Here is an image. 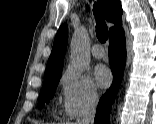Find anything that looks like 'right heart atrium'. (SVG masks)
I'll use <instances>...</instances> for the list:
<instances>
[{"instance_id":"right-heart-atrium-1","label":"right heart atrium","mask_w":156,"mask_h":124,"mask_svg":"<svg viewBox=\"0 0 156 124\" xmlns=\"http://www.w3.org/2000/svg\"><path fill=\"white\" fill-rule=\"evenodd\" d=\"M62 109L67 118H74L93 109L98 103V91L94 83L70 69L60 78Z\"/></svg>"}]
</instances>
